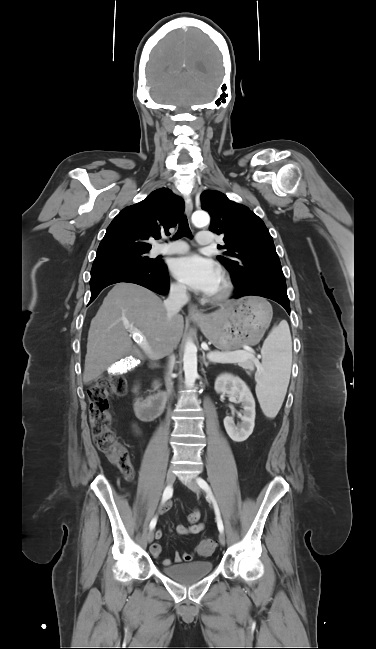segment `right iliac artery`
<instances>
[{"instance_id":"obj_1","label":"right iliac artery","mask_w":376,"mask_h":649,"mask_svg":"<svg viewBox=\"0 0 376 649\" xmlns=\"http://www.w3.org/2000/svg\"><path fill=\"white\" fill-rule=\"evenodd\" d=\"M172 494H173V488L171 486H167L163 492L161 502L164 503L165 501H167L169 498H171ZM156 522H157V517L155 516L150 522L149 525L150 529H153L156 526Z\"/></svg>"}]
</instances>
